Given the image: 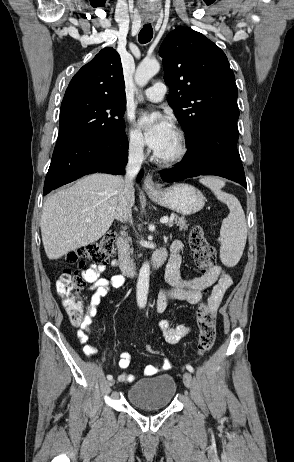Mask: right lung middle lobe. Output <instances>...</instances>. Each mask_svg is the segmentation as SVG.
Masks as SVG:
<instances>
[{
    "label": "right lung middle lobe",
    "mask_w": 294,
    "mask_h": 462,
    "mask_svg": "<svg viewBox=\"0 0 294 462\" xmlns=\"http://www.w3.org/2000/svg\"><path fill=\"white\" fill-rule=\"evenodd\" d=\"M126 99L77 97L62 101L57 142L74 136L118 133Z\"/></svg>",
    "instance_id": "1"
}]
</instances>
